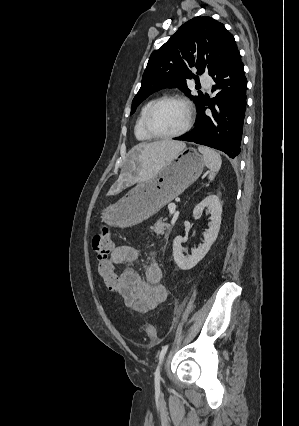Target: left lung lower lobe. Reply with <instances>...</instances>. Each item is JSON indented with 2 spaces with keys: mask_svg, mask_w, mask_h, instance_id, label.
<instances>
[{
  "mask_svg": "<svg viewBox=\"0 0 299 426\" xmlns=\"http://www.w3.org/2000/svg\"><path fill=\"white\" fill-rule=\"evenodd\" d=\"M214 80L212 102L203 99L198 106L194 129L175 140L209 146L230 158L239 155L246 110L247 80L240 53L233 51L210 75ZM207 106L212 115H206Z\"/></svg>",
  "mask_w": 299,
  "mask_h": 426,
  "instance_id": "left-lung-lower-lobe-1",
  "label": "left lung lower lobe"
}]
</instances>
